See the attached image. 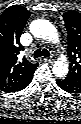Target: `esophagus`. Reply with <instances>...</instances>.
I'll return each mask as SVG.
<instances>
[{"label": "esophagus", "instance_id": "obj_1", "mask_svg": "<svg viewBox=\"0 0 81 124\" xmlns=\"http://www.w3.org/2000/svg\"><path fill=\"white\" fill-rule=\"evenodd\" d=\"M55 58H56V57H55V55H54V54H52L49 58H46L45 60H46V61H49V62H51V63H52V62H54V61H55Z\"/></svg>", "mask_w": 81, "mask_h": 124}]
</instances>
